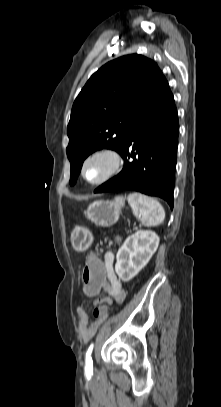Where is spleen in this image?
<instances>
[{
	"label": "spleen",
	"instance_id": "3e777b00",
	"mask_svg": "<svg viewBox=\"0 0 221 407\" xmlns=\"http://www.w3.org/2000/svg\"><path fill=\"white\" fill-rule=\"evenodd\" d=\"M133 214L145 226H158L165 218V211L162 205L154 198L141 193L133 192L127 197Z\"/></svg>",
	"mask_w": 221,
	"mask_h": 407
}]
</instances>
